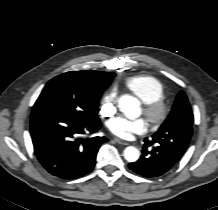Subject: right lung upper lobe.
Wrapping results in <instances>:
<instances>
[{"instance_id":"cb5924a9","label":"right lung upper lobe","mask_w":218,"mask_h":210,"mask_svg":"<svg viewBox=\"0 0 218 210\" xmlns=\"http://www.w3.org/2000/svg\"><path fill=\"white\" fill-rule=\"evenodd\" d=\"M85 89L104 91L115 76L113 72L70 71L62 74Z\"/></svg>"}]
</instances>
